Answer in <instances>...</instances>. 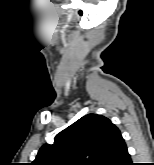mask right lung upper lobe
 Here are the masks:
<instances>
[{
    "mask_svg": "<svg viewBox=\"0 0 154 165\" xmlns=\"http://www.w3.org/2000/svg\"><path fill=\"white\" fill-rule=\"evenodd\" d=\"M120 136L108 118L88 114L44 144L32 165H102Z\"/></svg>",
    "mask_w": 154,
    "mask_h": 165,
    "instance_id": "obj_1",
    "label": "right lung upper lobe"
}]
</instances>
